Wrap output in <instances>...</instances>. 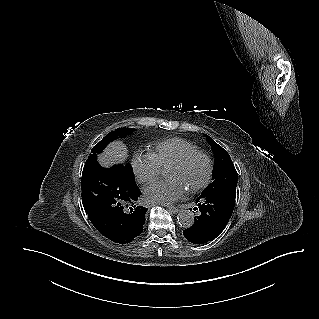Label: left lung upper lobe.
I'll return each instance as SVG.
<instances>
[{"mask_svg": "<svg viewBox=\"0 0 319 319\" xmlns=\"http://www.w3.org/2000/svg\"><path fill=\"white\" fill-rule=\"evenodd\" d=\"M215 155L213 182L205 188L202 195L215 193L237 186V172L227 151L206 135Z\"/></svg>", "mask_w": 319, "mask_h": 319, "instance_id": "left-lung-upper-lobe-1", "label": "left lung upper lobe"}]
</instances>
